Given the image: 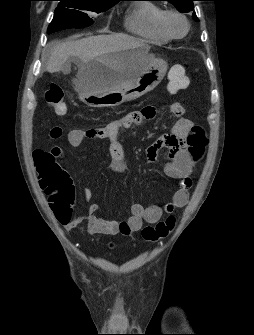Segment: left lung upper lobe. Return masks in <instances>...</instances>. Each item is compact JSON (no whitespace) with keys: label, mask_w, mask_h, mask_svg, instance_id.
<instances>
[{"label":"left lung upper lobe","mask_w":254,"mask_h":335,"mask_svg":"<svg viewBox=\"0 0 254 335\" xmlns=\"http://www.w3.org/2000/svg\"><path fill=\"white\" fill-rule=\"evenodd\" d=\"M173 3L181 12H190L194 9L193 1L195 0H163ZM193 19L199 22L195 12L192 15Z\"/></svg>","instance_id":"1"}]
</instances>
